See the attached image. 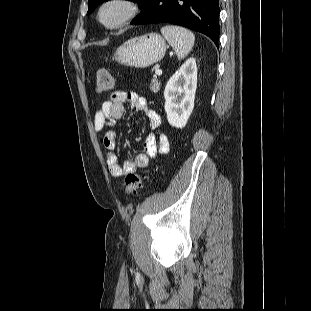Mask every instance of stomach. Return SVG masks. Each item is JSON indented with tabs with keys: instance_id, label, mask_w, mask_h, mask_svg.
Returning a JSON list of instances; mask_svg holds the SVG:
<instances>
[{
	"instance_id": "obj_1",
	"label": "stomach",
	"mask_w": 311,
	"mask_h": 311,
	"mask_svg": "<svg viewBox=\"0 0 311 311\" xmlns=\"http://www.w3.org/2000/svg\"><path fill=\"white\" fill-rule=\"evenodd\" d=\"M166 52V43L157 33L134 37L117 48L113 59L119 64L146 68L160 61Z\"/></svg>"
}]
</instances>
